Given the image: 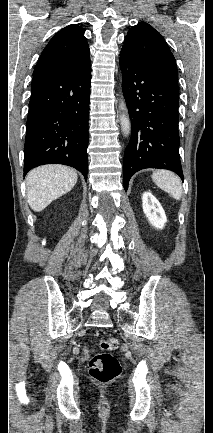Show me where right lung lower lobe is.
<instances>
[{
	"label": "right lung lower lobe",
	"instance_id": "right-lung-lower-lobe-1",
	"mask_svg": "<svg viewBox=\"0 0 213 433\" xmlns=\"http://www.w3.org/2000/svg\"><path fill=\"white\" fill-rule=\"evenodd\" d=\"M91 63L32 79L26 125L24 175L43 164H64L87 179Z\"/></svg>",
	"mask_w": 213,
	"mask_h": 433
}]
</instances>
